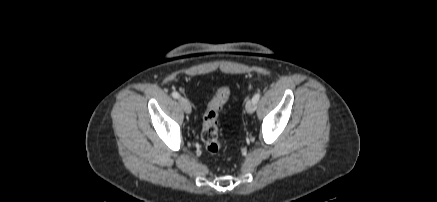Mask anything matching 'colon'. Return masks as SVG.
<instances>
[{
	"instance_id": "colon-1",
	"label": "colon",
	"mask_w": 437,
	"mask_h": 202,
	"mask_svg": "<svg viewBox=\"0 0 437 202\" xmlns=\"http://www.w3.org/2000/svg\"><path fill=\"white\" fill-rule=\"evenodd\" d=\"M229 95L230 88L228 86H222L208 103L203 116L201 139L206 151L210 154H217L222 147L218 133V114L227 102Z\"/></svg>"
}]
</instances>
